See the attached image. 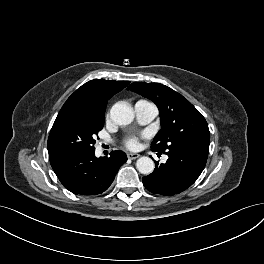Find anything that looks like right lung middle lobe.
<instances>
[{
  "instance_id": "dd1d6c3e",
  "label": "right lung middle lobe",
  "mask_w": 264,
  "mask_h": 264,
  "mask_svg": "<svg viewBox=\"0 0 264 264\" xmlns=\"http://www.w3.org/2000/svg\"><path fill=\"white\" fill-rule=\"evenodd\" d=\"M103 125L104 118L84 113L58 114L47 142L50 163L71 155L95 152V138Z\"/></svg>"
}]
</instances>
